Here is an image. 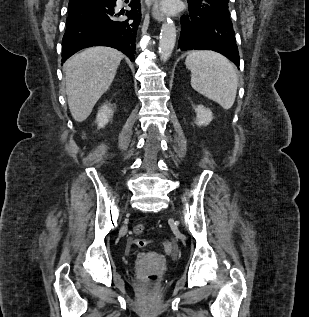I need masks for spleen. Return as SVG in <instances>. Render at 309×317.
<instances>
[{
    "mask_svg": "<svg viewBox=\"0 0 309 317\" xmlns=\"http://www.w3.org/2000/svg\"><path fill=\"white\" fill-rule=\"evenodd\" d=\"M191 71V86L224 109H230L235 101L238 78L233 64L213 51H193L185 60Z\"/></svg>",
    "mask_w": 309,
    "mask_h": 317,
    "instance_id": "3e777b00",
    "label": "spleen"
}]
</instances>
